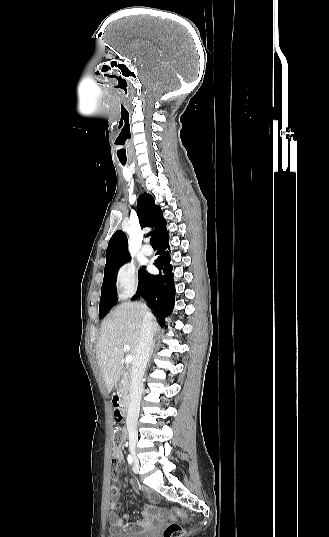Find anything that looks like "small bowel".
Wrapping results in <instances>:
<instances>
[{
    "label": "small bowel",
    "mask_w": 329,
    "mask_h": 537,
    "mask_svg": "<svg viewBox=\"0 0 329 537\" xmlns=\"http://www.w3.org/2000/svg\"><path fill=\"white\" fill-rule=\"evenodd\" d=\"M113 420L115 423L120 424L123 422L124 417L121 414V408L115 407L113 409ZM123 460V453L121 447H114L112 451V460H111V473L115 476L121 466ZM128 485L134 491H138V487L134 481H129ZM144 494L153 501L157 500V497L144 491ZM118 498L119 490L117 486V481L114 480V484L111 488V500L109 507L111 511L108 514V521L111 525V530L115 532H125V533H141L153 529L159 520H162L166 517V511L163 508H157L152 505H147L142 514L141 520L136 522H129L123 524V521H128L130 519L129 514H123L122 518L118 517L114 510L118 507Z\"/></svg>",
    "instance_id": "obj_1"
}]
</instances>
